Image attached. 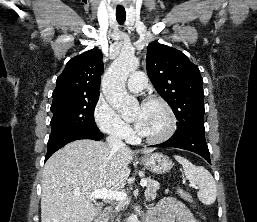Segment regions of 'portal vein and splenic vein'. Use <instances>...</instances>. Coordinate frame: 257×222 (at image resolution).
Segmentation results:
<instances>
[{
  "mask_svg": "<svg viewBox=\"0 0 257 222\" xmlns=\"http://www.w3.org/2000/svg\"><path fill=\"white\" fill-rule=\"evenodd\" d=\"M146 184H147L146 180L141 181L142 186H145ZM87 198H90V199L101 198V199H108V200L125 201L127 199V194L119 191H109L102 188L87 194Z\"/></svg>",
  "mask_w": 257,
  "mask_h": 222,
  "instance_id": "1",
  "label": "portal vein and splenic vein"
}]
</instances>
